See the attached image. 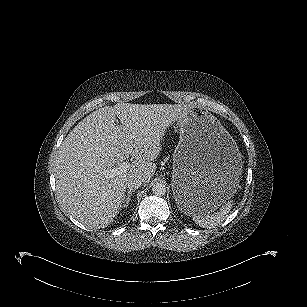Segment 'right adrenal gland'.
Segmentation results:
<instances>
[{
	"instance_id": "2a0ac1e0",
	"label": "right adrenal gland",
	"mask_w": 307,
	"mask_h": 307,
	"mask_svg": "<svg viewBox=\"0 0 307 307\" xmlns=\"http://www.w3.org/2000/svg\"><path fill=\"white\" fill-rule=\"evenodd\" d=\"M134 192V190H129L128 191V194L126 196V199H125V203L123 204V207L124 208H127L128 205H129V202L131 201V197H132V193Z\"/></svg>"
}]
</instances>
